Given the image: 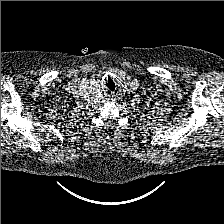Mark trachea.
<instances>
[{
	"mask_svg": "<svg viewBox=\"0 0 224 224\" xmlns=\"http://www.w3.org/2000/svg\"><path fill=\"white\" fill-rule=\"evenodd\" d=\"M106 88L108 91L113 92L116 88L115 82L112 79H108V82H106Z\"/></svg>",
	"mask_w": 224,
	"mask_h": 224,
	"instance_id": "1",
	"label": "trachea"
}]
</instances>
